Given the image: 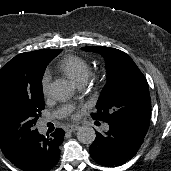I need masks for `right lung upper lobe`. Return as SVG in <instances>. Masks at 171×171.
I'll return each instance as SVG.
<instances>
[{
  "label": "right lung upper lobe",
  "instance_id": "obj_1",
  "mask_svg": "<svg viewBox=\"0 0 171 171\" xmlns=\"http://www.w3.org/2000/svg\"><path fill=\"white\" fill-rule=\"evenodd\" d=\"M56 50H37V51H32V52H29V53H34V54H40V55H44V56H47V55H50L52 53H54ZM27 53V52H26ZM14 156V155H13ZM13 156L11 157H7L8 159H11Z\"/></svg>",
  "mask_w": 171,
  "mask_h": 171
}]
</instances>
